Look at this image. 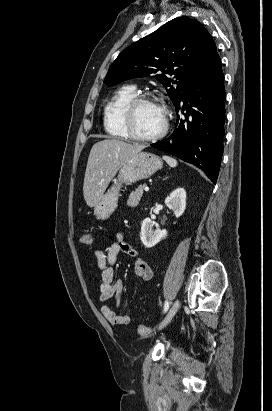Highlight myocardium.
<instances>
[{
    "label": "myocardium",
    "instance_id": "obj_1",
    "mask_svg": "<svg viewBox=\"0 0 272 411\" xmlns=\"http://www.w3.org/2000/svg\"><path fill=\"white\" fill-rule=\"evenodd\" d=\"M143 103H155L161 108L162 113H163V126L159 132L153 135H148V136L140 135L134 129V116H135L136 109L138 108L139 105ZM123 125H124V128L129 138L136 140V141H141V142H154V141L162 139L168 132V129H169L168 112H167L166 107L160 104L159 102H157V100L154 97L149 96V95H136L124 107Z\"/></svg>",
    "mask_w": 272,
    "mask_h": 411
}]
</instances>
